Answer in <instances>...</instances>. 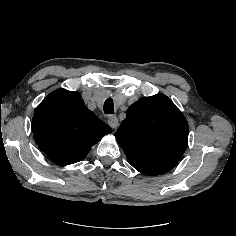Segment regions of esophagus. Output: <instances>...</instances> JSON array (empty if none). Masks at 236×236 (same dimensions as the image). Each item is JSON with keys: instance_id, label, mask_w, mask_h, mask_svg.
<instances>
[{"instance_id": "esophagus-1", "label": "esophagus", "mask_w": 236, "mask_h": 236, "mask_svg": "<svg viewBox=\"0 0 236 236\" xmlns=\"http://www.w3.org/2000/svg\"><path fill=\"white\" fill-rule=\"evenodd\" d=\"M108 124L113 128L116 129L118 127L119 121L116 116H110L108 118Z\"/></svg>"}]
</instances>
